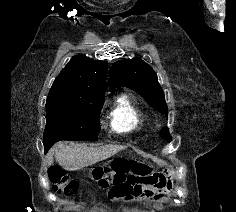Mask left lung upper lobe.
I'll return each instance as SVG.
<instances>
[{"label":"left lung upper lobe","mask_w":236,"mask_h":212,"mask_svg":"<svg viewBox=\"0 0 236 212\" xmlns=\"http://www.w3.org/2000/svg\"><path fill=\"white\" fill-rule=\"evenodd\" d=\"M119 87L136 91L152 108L165 113L168 117L164 92L158 83L157 75L152 67L140 58L120 60L112 65L109 71L110 91ZM160 136L167 141L171 140L167 128L160 131Z\"/></svg>","instance_id":"5c2ea615"}]
</instances>
